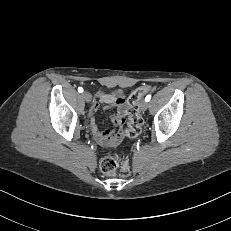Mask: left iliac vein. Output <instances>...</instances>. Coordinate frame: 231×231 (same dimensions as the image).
Masks as SVG:
<instances>
[{"label": "left iliac vein", "instance_id": "left-iliac-vein-1", "mask_svg": "<svg viewBox=\"0 0 231 231\" xmlns=\"http://www.w3.org/2000/svg\"><path fill=\"white\" fill-rule=\"evenodd\" d=\"M140 107L142 111H145L148 108V103L146 101H142Z\"/></svg>", "mask_w": 231, "mask_h": 231}]
</instances>
